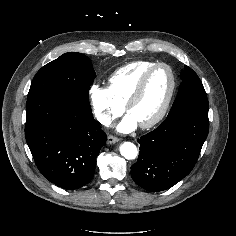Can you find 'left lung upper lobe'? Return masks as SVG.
Returning <instances> with one entry per match:
<instances>
[{
  "instance_id": "5c2ea615",
  "label": "left lung upper lobe",
  "mask_w": 236,
  "mask_h": 236,
  "mask_svg": "<svg viewBox=\"0 0 236 236\" xmlns=\"http://www.w3.org/2000/svg\"><path fill=\"white\" fill-rule=\"evenodd\" d=\"M180 77L182 83L168 117L184 112L208 115V99L197 74L185 65Z\"/></svg>"
}]
</instances>
